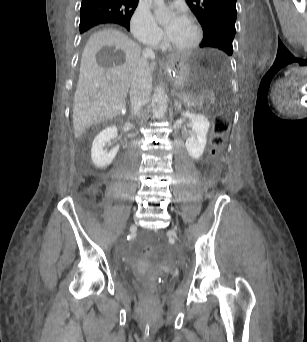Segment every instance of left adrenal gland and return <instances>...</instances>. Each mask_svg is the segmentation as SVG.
Returning a JSON list of instances; mask_svg holds the SVG:
<instances>
[{
  "mask_svg": "<svg viewBox=\"0 0 307 342\" xmlns=\"http://www.w3.org/2000/svg\"><path fill=\"white\" fill-rule=\"evenodd\" d=\"M174 102H175V104H174L175 110H177V108H179L180 104H179L178 100H174Z\"/></svg>",
  "mask_w": 307,
  "mask_h": 342,
  "instance_id": "1",
  "label": "left adrenal gland"
}]
</instances>
